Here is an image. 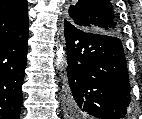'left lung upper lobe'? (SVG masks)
Masks as SVG:
<instances>
[{
  "mask_svg": "<svg viewBox=\"0 0 142 119\" xmlns=\"http://www.w3.org/2000/svg\"><path fill=\"white\" fill-rule=\"evenodd\" d=\"M65 20L87 32L120 35L117 16L109 0H75Z\"/></svg>",
  "mask_w": 142,
  "mask_h": 119,
  "instance_id": "5c2ea615",
  "label": "left lung upper lobe"
}]
</instances>
